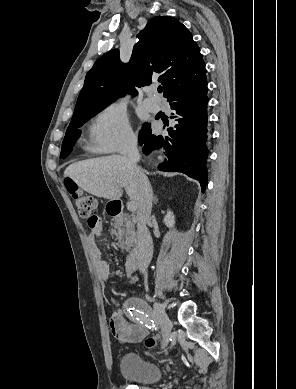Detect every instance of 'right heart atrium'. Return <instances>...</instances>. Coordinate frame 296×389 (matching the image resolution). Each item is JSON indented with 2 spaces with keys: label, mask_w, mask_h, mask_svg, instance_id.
<instances>
[{
  "label": "right heart atrium",
  "mask_w": 296,
  "mask_h": 389,
  "mask_svg": "<svg viewBox=\"0 0 296 389\" xmlns=\"http://www.w3.org/2000/svg\"><path fill=\"white\" fill-rule=\"evenodd\" d=\"M91 146L103 153L124 152L135 145L133 132L124 109L117 104L104 107L90 127Z\"/></svg>",
  "instance_id": "right-heart-atrium-1"
}]
</instances>
